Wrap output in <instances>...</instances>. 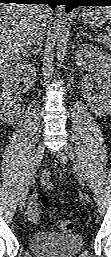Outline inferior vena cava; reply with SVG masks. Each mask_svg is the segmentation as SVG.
Segmentation results:
<instances>
[{
    "instance_id": "obj_1",
    "label": "inferior vena cava",
    "mask_w": 111,
    "mask_h": 257,
    "mask_svg": "<svg viewBox=\"0 0 111 257\" xmlns=\"http://www.w3.org/2000/svg\"><path fill=\"white\" fill-rule=\"evenodd\" d=\"M45 32H46V28L43 25L38 24V27L36 28L33 34V40H32V42L34 43V45H36V47L40 48L42 46V42L44 41V38H45Z\"/></svg>"
}]
</instances>
